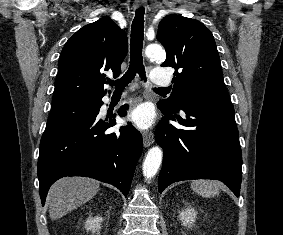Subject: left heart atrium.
Instances as JSON below:
<instances>
[{"mask_svg": "<svg viewBox=\"0 0 283 235\" xmlns=\"http://www.w3.org/2000/svg\"><path fill=\"white\" fill-rule=\"evenodd\" d=\"M129 120L142 129L149 128L153 124V111L147 104H141L129 114Z\"/></svg>", "mask_w": 283, "mask_h": 235, "instance_id": "obj_1", "label": "left heart atrium"}]
</instances>
